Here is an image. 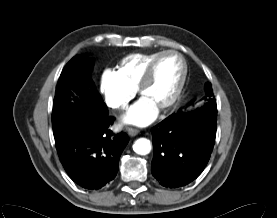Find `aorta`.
I'll use <instances>...</instances> for the list:
<instances>
[{"mask_svg":"<svg viewBox=\"0 0 277 218\" xmlns=\"http://www.w3.org/2000/svg\"><path fill=\"white\" fill-rule=\"evenodd\" d=\"M152 148L150 140L146 138H139L133 144V150L138 155H147Z\"/></svg>","mask_w":277,"mask_h":218,"instance_id":"762f6f07","label":"aorta"}]
</instances>
